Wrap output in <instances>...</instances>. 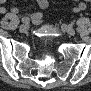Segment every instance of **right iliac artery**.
Instances as JSON below:
<instances>
[{"mask_svg": "<svg viewBox=\"0 0 91 91\" xmlns=\"http://www.w3.org/2000/svg\"><path fill=\"white\" fill-rule=\"evenodd\" d=\"M21 21H22L23 23H28V22H29V18L23 17Z\"/></svg>", "mask_w": 91, "mask_h": 91, "instance_id": "obj_1", "label": "right iliac artery"}]
</instances>
